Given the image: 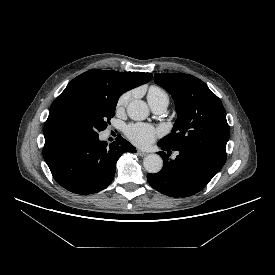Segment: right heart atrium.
Returning <instances> with one entry per match:
<instances>
[{"label":"right heart atrium","instance_id":"1","mask_svg":"<svg viewBox=\"0 0 275 275\" xmlns=\"http://www.w3.org/2000/svg\"><path fill=\"white\" fill-rule=\"evenodd\" d=\"M131 94L129 92L123 93L117 100L116 109L117 111H121L127 105Z\"/></svg>","mask_w":275,"mask_h":275}]
</instances>
